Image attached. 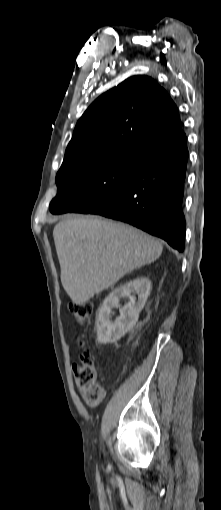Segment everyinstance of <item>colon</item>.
Instances as JSON below:
<instances>
[{
    "label": "colon",
    "mask_w": 221,
    "mask_h": 510,
    "mask_svg": "<svg viewBox=\"0 0 221 510\" xmlns=\"http://www.w3.org/2000/svg\"><path fill=\"white\" fill-rule=\"evenodd\" d=\"M74 319L79 324H84L89 319L92 313V306L90 303L72 302L69 305ZM84 339H79V346L82 349L80 353V365L76 373L77 384L82 388V397L84 402L89 407H97L103 400L104 393L102 388L96 381V369L93 364L91 355L85 349Z\"/></svg>",
    "instance_id": "colon-1"
}]
</instances>
